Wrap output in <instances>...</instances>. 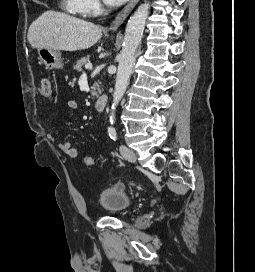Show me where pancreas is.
Returning <instances> with one entry per match:
<instances>
[{
  "label": "pancreas",
  "instance_id": "pancreas-1",
  "mask_svg": "<svg viewBox=\"0 0 255 272\" xmlns=\"http://www.w3.org/2000/svg\"><path fill=\"white\" fill-rule=\"evenodd\" d=\"M90 63V56H86L81 58L80 60L77 61V63L73 66L74 70H77L78 72L82 71V67L86 64ZM101 93V89L99 86V82L94 83L93 87H92V93H91V97H97L98 94Z\"/></svg>",
  "mask_w": 255,
  "mask_h": 272
}]
</instances>
